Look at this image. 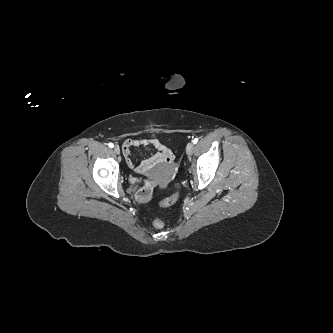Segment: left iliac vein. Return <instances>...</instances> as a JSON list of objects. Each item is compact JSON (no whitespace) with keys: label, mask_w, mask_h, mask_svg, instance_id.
Returning <instances> with one entry per match:
<instances>
[{"label":"left iliac vein","mask_w":333,"mask_h":333,"mask_svg":"<svg viewBox=\"0 0 333 333\" xmlns=\"http://www.w3.org/2000/svg\"><path fill=\"white\" fill-rule=\"evenodd\" d=\"M193 150H194V144L192 142L188 143L186 147V153L188 155H191L193 153Z\"/></svg>","instance_id":"1"}]
</instances>
